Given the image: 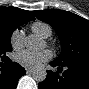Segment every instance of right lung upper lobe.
I'll return each instance as SVG.
<instances>
[{
  "label": "right lung upper lobe",
  "mask_w": 89,
  "mask_h": 89,
  "mask_svg": "<svg viewBox=\"0 0 89 89\" xmlns=\"http://www.w3.org/2000/svg\"><path fill=\"white\" fill-rule=\"evenodd\" d=\"M33 14V11L30 12L16 7H4L0 8V22L18 28L28 21L34 20Z\"/></svg>",
  "instance_id": "cb5924a9"
}]
</instances>
